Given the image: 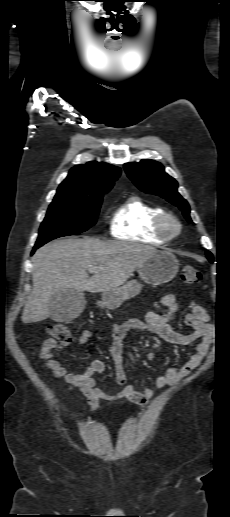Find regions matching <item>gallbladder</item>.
I'll use <instances>...</instances> for the list:
<instances>
[{"mask_svg":"<svg viewBox=\"0 0 230 517\" xmlns=\"http://www.w3.org/2000/svg\"><path fill=\"white\" fill-rule=\"evenodd\" d=\"M85 304L83 293L71 289L59 291L48 303L50 318L57 322L70 321L81 314Z\"/></svg>","mask_w":230,"mask_h":517,"instance_id":"bac80fb5","label":"gallbladder"}]
</instances>
